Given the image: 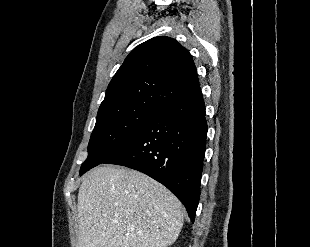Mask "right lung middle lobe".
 <instances>
[{"mask_svg":"<svg viewBox=\"0 0 310 247\" xmlns=\"http://www.w3.org/2000/svg\"><path fill=\"white\" fill-rule=\"evenodd\" d=\"M158 111L150 106H134L97 116L80 175L117 152Z\"/></svg>","mask_w":310,"mask_h":247,"instance_id":"1","label":"right lung middle lobe"}]
</instances>
